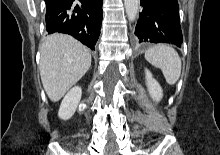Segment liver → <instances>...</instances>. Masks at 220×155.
<instances>
[{
	"label": "liver",
	"mask_w": 220,
	"mask_h": 155,
	"mask_svg": "<svg viewBox=\"0 0 220 155\" xmlns=\"http://www.w3.org/2000/svg\"><path fill=\"white\" fill-rule=\"evenodd\" d=\"M40 75L46 94L59 101L91 66L90 50L66 34H52L42 44Z\"/></svg>",
	"instance_id": "obj_1"
}]
</instances>
